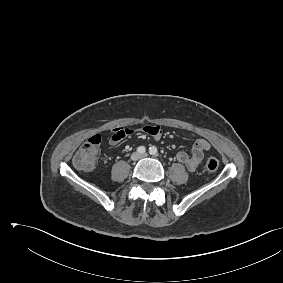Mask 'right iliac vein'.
Here are the masks:
<instances>
[{"instance_id":"1","label":"right iliac vein","mask_w":283,"mask_h":283,"mask_svg":"<svg viewBox=\"0 0 283 283\" xmlns=\"http://www.w3.org/2000/svg\"><path fill=\"white\" fill-rule=\"evenodd\" d=\"M131 159H132L133 161L139 160V159H140V154L137 153V152L133 153V154L131 155Z\"/></svg>"}]
</instances>
